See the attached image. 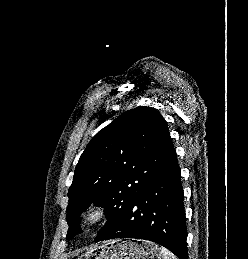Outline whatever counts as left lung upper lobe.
Returning <instances> with one entry per match:
<instances>
[{"label":"left lung upper lobe","mask_w":248,"mask_h":259,"mask_svg":"<svg viewBox=\"0 0 248 259\" xmlns=\"http://www.w3.org/2000/svg\"><path fill=\"white\" fill-rule=\"evenodd\" d=\"M176 158L167 122L159 111H126L89 142L68 191L67 239L80 232L79 215L92 203L105 207L112 225Z\"/></svg>","instance_id":"left-lung-upper-lobe-1"}]
</instances>
